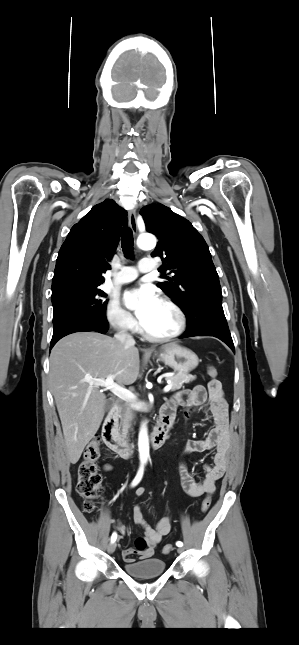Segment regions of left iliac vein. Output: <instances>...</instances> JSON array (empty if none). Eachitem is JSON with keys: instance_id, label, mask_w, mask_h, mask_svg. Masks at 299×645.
<instances>
[{"instance_id": "4c4485c4", "label": "left iliac vein", "mask_w": 299, "mask_h": 645, "mask_svg": "<svg viewBox=\"0 0 299 645\" xmlns=\"http://www.w3.org/2000/svg\"><path fill=\"white\" fill-rule=\"evenodd\" d=\"M177 552H178V553H182V552H183V548H182V547H178Z\"/></svg>"}]
</instances>
